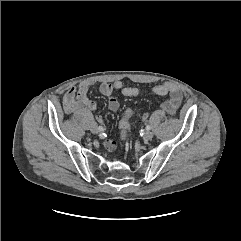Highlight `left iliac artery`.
<instances>
[{
    "label": "left iliac artery",
    "instance_id": "left-iliac-artery-1",
    "mask_svg": "<svg viewBox=\"0 0 241 241\" xmlns=\"http://www.w3.org/2000/svg\"><path fill=\"white\" fill-rule=\"evenodd\" d=\"M151 129L150 125L146 126V130L149 131Z\"/></svg>",
    "mask_w": 241,
    "mask_h": 241
}]
</instances>
